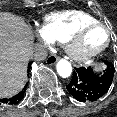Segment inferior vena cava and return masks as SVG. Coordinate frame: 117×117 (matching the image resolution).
Instances as JSON below:
<instances>
[{
    "mask_svg": "<svg viewBox=\"0 0 117 117\" xmlns=\"http://www.w3.org/2000/svg\"><path fill=\"white\" fill-rule=\"evenodd\" d=\"M30 58L36 61L45 60L47 57V50L44 45L42 44H35L29 51Z\"/></svg>",
    "mask_w": 117,
    "mask_h": 117,
    "instance_id": "602c4592",
    "label": "inferior vena cava"
}]
</instances>
